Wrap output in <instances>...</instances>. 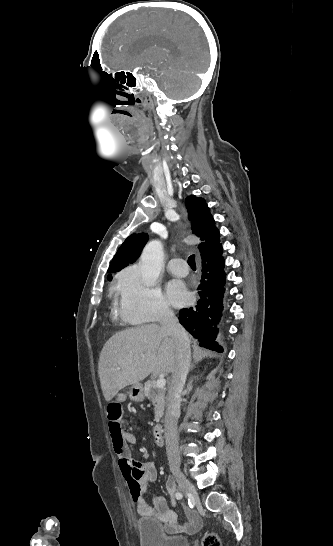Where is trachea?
<instances>
[{
    "label": "trachea",
    "instance_id": "obj_1",
    "mask_svg": "<svg viewBox=\"0 0 333 546\" xmlns=\"http://www.w3.org/2000/svg\"><path fill=\"white\" fill-rule=\"evenodd\" d=\"M188 264L190 265L191 268H193V269L196 268L195 255H190V256H189V258H188Z\"/></svg>",
    "mask_w": 333,
    "mask_h": 546
}]
</instances>
